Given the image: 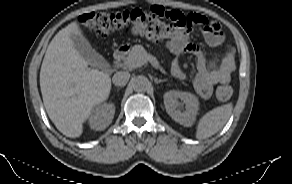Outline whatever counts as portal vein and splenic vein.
Here are the masks:
<instances>
[{"mask_svg":"<svg viewBox=\"0 0 292 184\" xmlns=\"http://www.w3.org/2000/svg\"><path fill=\"white\" fill-rule=\"evenodd\" d=\"M146 62H150L156 69H161V66L158 60L152 55H146L137 64H133L132 67H140L144 65Z\"/></svg>","mask_w":292,"mask_h":184,"instance_id":"obj_1","label":"portal vein and splenic vein"}]
</instances>
